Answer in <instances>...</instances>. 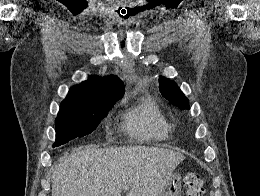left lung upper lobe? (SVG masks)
<instances>
[{
  "label": "left lung upper lobe",
  "instance_id": "obj_1",
  "mask_svg": "<svg viewBox=\"0 0 260 196\" xmlns=\"http://www.w3.org/2000/svg\"><path fill=\"white\" fill-rule=\"evenodd\" d=\"M160 92L172 104L181 109H189V100L184 96L177 84L164 77L159 78Z\"/></svg>",
  "mask_w": 260,
  "mask_h": 196
}]
</instances>
